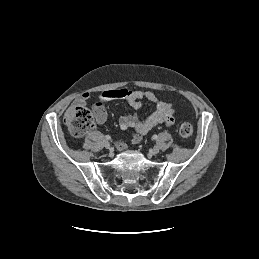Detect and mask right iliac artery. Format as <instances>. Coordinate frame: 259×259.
Segmentation results:
<instances>
[{
  "label": "right iliac artery",
  "instance_id": "right-iliac-artery-1",
  "mask_svg": "<svg viewBox=\"0 0 259 259\" xmlns=\"http://www.w3.org/2000/svg\"><path fill=\"white\" fill-rule=\"evenodd\" d=\"M105 139H106V140H110L111 137H110L109 135H106V136H105Z\"/></svg>",
  "mask_w": 259,
  "mask_h": 259
}]
</instances>
